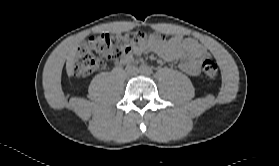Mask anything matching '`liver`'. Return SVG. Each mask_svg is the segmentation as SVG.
<instances>
[{
    "mask_svg": "<svg viewBox=\"0 0 279 166\" xmlns=\"http://www.w3.org/2000/svg\"><path fill=\"white\" fill-rule=\"evenodd\" d=\"M75 55H76V47L72 48L67 55L66 71L69 77L73 75Z\"/></svg>",
    "mask_w": 279,
    "mask_h": 166,
    "instance_id": "obj_1",
    "label": "liver"
}]
</instances>
